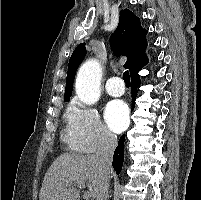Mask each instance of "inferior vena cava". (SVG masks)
I'll return each instance as SVG.
<instances>
[{"label":"inferior vena cava","instance_id":"obj_1","mask_svg":"<svg viewBox=\"0 0 201 200\" xmlns=\"http://www.w3.org/2000/svg\"><path fill=\"white\" fill-rule=\"evenodd\" d=\"M116 146L117 137L111 133H105L95 154L96 161L102 173L101 183L98 189L96 200L108 199L110 166Z\"/></svg>","mask_w":201,"mask_h":200}]
</instances>
